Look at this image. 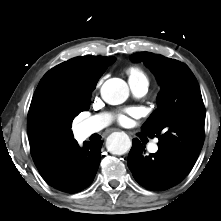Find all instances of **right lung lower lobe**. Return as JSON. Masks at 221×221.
Masks as SVG:
<instances>
[{
	"label": "right lung lower lobe",
	"instance_id": "1",
	"mask_svg": "<svg viewBox=\"0 0 221 221\" xmlns=\"http://www.w3.org/2000/svg\"><path fill=\"white\" fill-rule=\"evenodd\" d=\"M102 141H75L50 163L38 168L43 179L57 190L75 193L91 184L101 160Z\"/></svg>",
	"mask_w": 221,
	"mask_h": 221
}]
</instances>
